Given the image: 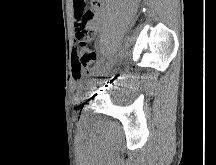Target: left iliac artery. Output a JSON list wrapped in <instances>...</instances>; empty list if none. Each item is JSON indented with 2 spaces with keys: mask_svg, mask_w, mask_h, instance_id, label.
Masks as SVG:
<instances>
[{
  "mask_svg": "<svg viewBox=\"0 0 216 165\" xmlns=\"http://www.w3.org/2000/svg\"><path fill=\"white\" fill-rule=\"evenodd\" d=\"M104 64H105V58H100L99 63L97 65V68H98L99 72L104 71Z\"/></svg>",
  "mask_w": 216,
  "mask_h": 165,
  "instance_id": "obj_1",
  "label": "left iliac artery"
}]
</instances>
